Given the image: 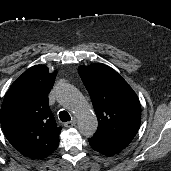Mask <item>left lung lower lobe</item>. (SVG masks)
Returning a JSON list of instances; mask_svg holds the SVG:
<instances>
[{"label":"left lung lower lobe","instance_id":"obj_1","mask_svg":"<svg viewBox=\"0 0 171 171\" xmlns=\"http://www.w3.org/2000/svg\"><path fill=\"white\" fill-rule=\"evenodd\" d=\"M89 143H90V146L97 152L101 153V154H104L106 156H112L116 153H119L121 150L116 148V147H113V146H110L106 143H103L93 137L89 138Z\"/></svg>","mask_w":171,"mask_h":171}]
</instances>
